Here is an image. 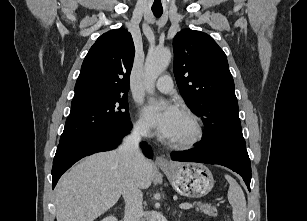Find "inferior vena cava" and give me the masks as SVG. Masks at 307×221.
<instances>
[{
    "mask_svg": "<svg viewBox=\"0 0 307 221\" xmlns=\"http://www.w3.org/2000/svg\"><path fill=\"white\" fill-rule=\"evenodd\" d=\"M146 135V128L137 125L131 134L123 139V143L119 147L126 166L125 180L122 186V194L125 199L124 221H140L143 214V194L136 184L135 170L146 164V158L139 149V142Z\"/></svg>",
    "mask_w": 307,
    "mask_h": 221,
    "instance_id": "inferior-vena-cava-1",
    "label": "inferior vena cava"
}]
</instances>
